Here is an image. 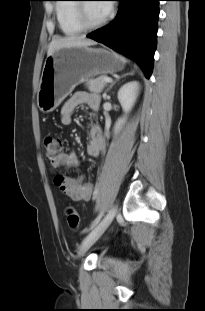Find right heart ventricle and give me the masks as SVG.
Returning <instances> with one entry per match:
<instances>
[{
	"mask_svg": "<svg viewBox=\"0 0 205 311\" xmlns=\"http://www.w3.org/2000/svg\"><path fill=\"white\" fill-rule=\"evenodd\" d=\"M71 1L74 0H59L61 3L56 4L55 8L59 28L67 36L77 35L83 31L76 19L75 4L62 3Z\"/></svg>",
	"mask_w": 205,
	"mask_h": 311,
	"instance_id": "obj_1",
	"label": "right heart ventricle"
}]
</instances>
